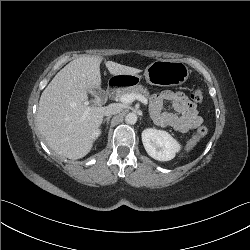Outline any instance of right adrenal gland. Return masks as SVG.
Wrapping results in <instances>:
<instances>
[{"label": "right adrenal gland", "instance_id": "obj_1", "mask_svg": "<svg viewBox=\"0 0 250 250\" xmlns=\"http://www.w3.org/2000/svg\"><path fill=\"white\" fill-rule=\"evenodd\" d=\"M111 119V116H108L107 118L104 119L103 124L106 122L107 123V129H108V125H109V121Z\"/></svg>", "mask_w": 250, "mask_h": 250}]
</instances>
